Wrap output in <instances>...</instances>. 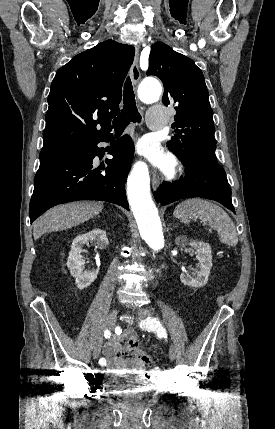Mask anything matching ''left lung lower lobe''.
Returning a JSON list of instances; mask_svg holds the SVG:
<instances>
[{
  "label": "left lung lower lobe",
  "instance_id": "left-lung-lower-lobe-1",
  "mask_svg": "<svg viewBox=\"0 0 275 429\" xmlns=\"http://www.w3.org/2000/svg\"><path fill=\"white\" fill-rule=\"evenodd\" d=\"M182 162L187 169L185 177L172 184L163 182L154 192L157 203L167 205L183 198L202 197L215 200L235 213L231 188L218 162L208 158Z\"/></svg>",
  "mask_w": 275,
  "mask_h": 429
}]
</instances>
